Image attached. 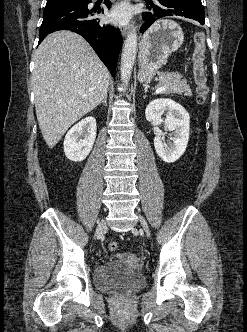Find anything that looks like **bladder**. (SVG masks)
Returning <instances> with one entry per match:
<instances>
[{
    "label": "bladder",
    "mask_w": 247,
    "mask_h": 332,
    "mask_svg": "<svg viewBox=\"0 0 247 332\" xmlns=\"http://www.w3.org/2000/svg\"><path fill=\"white\" fill-rule=\"evenodd\" d=\"M95 286L110 293H129L145 285L144 275L136 267L132 253L124 252L99 264L93 273Z\"/></svg>",
    "instance_id": "bladder-1"
}]
</instances>
